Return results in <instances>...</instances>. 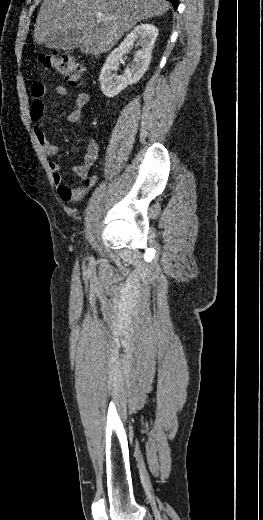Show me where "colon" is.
Here are the masks:
<instances>
[{
    "label": "colon",
    "mask_w": 263,
    "mask_h": 520,
    "mask_svg": "<svg viewBox=\"0 0 263 520\" xmlns=\"http://www.w3.org/2000/svg\"><path fill=\"white\" fill-rule=\"evenodd\" d=\"M38 60L45 68L63 77L71 86L81 85L84 67L71 57L53 52L40 54Z\"/></svg>",
    "instance_id": "colon-1"
}]
</instances>
